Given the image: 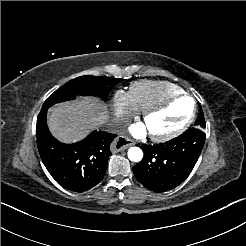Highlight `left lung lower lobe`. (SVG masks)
I'll use <instances>...</instances> for the list:
<instances>
[{"mask_svg":"<svg viewBox=\"0 0 246 246\" xmlns=\"http://www.w3.org/2000/svg\"><path fill=\"white\" fill-rule=\"evenodd\" d=\"M205 137L203 130L192 127L165 143L144 144V157L133 167L135 177L143 186L155 192L177 187L193 170Z\"/></svg>","mask_w":246,"mask_h":246,"instance_id":"0a47b994","label":"left lung lower lobe"}]
</instances>
